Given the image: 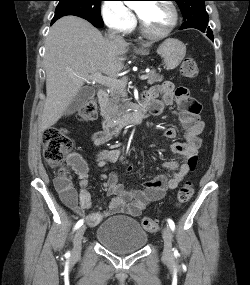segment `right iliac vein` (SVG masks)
I'll use <instances>...</instances> for the list:
<instances>
[{
  "label": "right iliac vein",
  "mask_w": 250,
  "mask_h": 285,
  "mask_svg": "<svg viewBox=\"0 0 250 285\" xmlns=\"http://www.w3.org/2000/svg\"><path fill=\"white\" fill-rule=\"evenodd\" d=\"M86 230V226H80L78 228V230L76 231L75 235H74V239H73V251H72V255L74 257H77L80 255L81 252V242H82V238L83 235L85 233Z\"/></svg>",
  "instance_id": "1"
}]
</instances>
